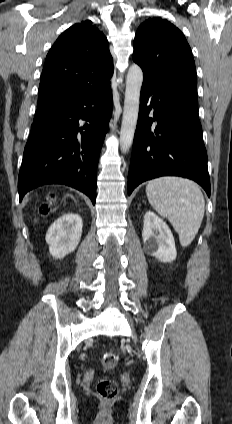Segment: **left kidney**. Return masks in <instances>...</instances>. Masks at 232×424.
Returning a JSON list of instances; mask_svg holds the SVG:
<instances>
[{"label":"left kidney","instance_id":"obj_1","mask_svg":"<svg viewBox=\"0 0 232 424\" xmlns=\"http://www.w3.org/2000/svg\"><path fill=\"white\" fill-rule=\"evenodd\" d=\"M142 237L146 251L159 261L167 263L176 259L173 234L168 225L152 211L145 213Z\"/></svg>","mask_w":232,"mask_h":424}]
</instances>
